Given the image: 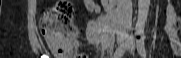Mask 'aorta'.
<instances>
[{
	"label": "aorta",
	"mask_w": 181,
	"mask_h": 58,
	"mask_svg": "<svg viewBox=\"0 0 181 58\" xmlns=\"http://www.w3.org/2000/svg\"><path fill=\"white\" fill-rule=\"evenodd\" d=\"M150 7V0H138V16L135 30L136 32H143L148 17Z\"/></svg>",
	"instance_id": "obj_1"
}]
</instances>
